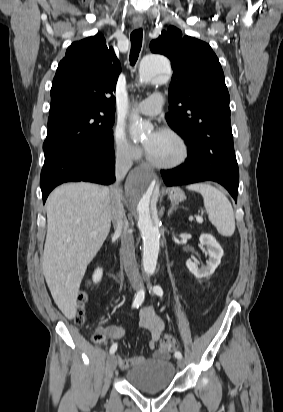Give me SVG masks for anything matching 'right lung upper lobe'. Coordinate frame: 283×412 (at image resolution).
<instances>
[{"instance_id": "obj_1", "label": "right lung upper lobe", "mask_w": 283, "mask_h": 412, "mask_svg": "<svg viewBox=\"0 0 283 412\" xmlns=\"http://www.w3.org/2000/svg\"><path fill=\"white\" fill-rule=\"evenodd\" d=\"M120 72V63L101 34L72 43L53 79L49 115L70 108H95L114 115L113 92Z\"/></svg>"}]
</instances>
